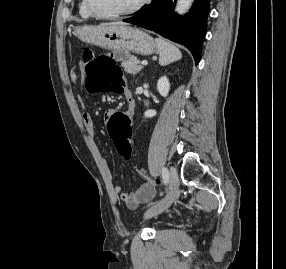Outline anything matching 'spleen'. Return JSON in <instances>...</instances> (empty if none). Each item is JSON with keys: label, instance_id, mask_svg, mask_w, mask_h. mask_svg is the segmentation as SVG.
Masks as SVG:
<instances>
[{"label": "spleen", "instance_id": "obj_1", "mask_svg": "<svg viewBox=\"0 0 286 269\" xmlns=\"http://www.w3.org/2000/svg\"><path fill=\"white\" fill-rule=\"evenodd\" d=\"M155 42L159 52L160 65L165 66L182 58L181 51L172 43L162 38H156Z\"/></svg>", "mask_w": 286, "mask_h": 269}]
</instances>
